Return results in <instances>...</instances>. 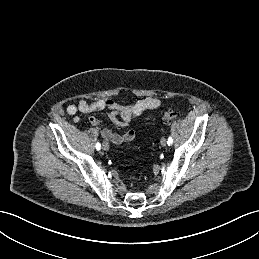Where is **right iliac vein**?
Here are the masks:
<instances>
[{
	"mask_svg": "<svg viewBox=\"0 0 259 259\" xmlns=\"http://www.w3.org/2000/svg\"><path fill=\"white\" fill-rule=\"evenodd\" d=\"M102 149L107 151L109 149V144L104 141L103 144H102Z\"/></svg>",
	"mask_w": 259,
	"mask_h": 259,
	"instance_id": "63e3f726",
	"label": "right iliac vein"
}]
</instances>
